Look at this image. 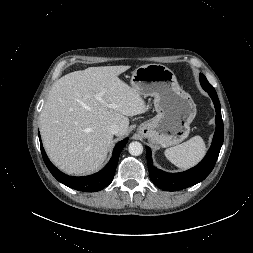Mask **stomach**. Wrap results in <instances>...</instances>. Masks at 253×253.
Segmentation results:
<instances>
[{"label": "stomach", "mask_w": 253, "mask_h": 253, "mask_svg": "<svg viewBox=\"0 0 253 253\" xmlns=\"http://www.w3.org/2000/svg\"><path fill=\"white\" fill-rule=\"evenodd\" d=\"M131 86L141 96L154 97L157 115L140 124L137 132L152 144L174 146L185 140L196 116V104L162 64H146L132 72Z\"/></svg>", "instance_id": "stomach-1"}]
</instances>
